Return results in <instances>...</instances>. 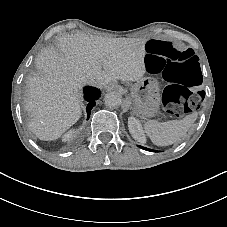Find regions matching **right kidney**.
<instances>
[{
    "label": "right kidney",
    "instance_id": "obj_1",
    "mask_svg": "<svg viewBox=\"0 0 227 227\" xmlns=\"http://www.w3.org/2000/svg\"><path fill=\"white\" fill-rule=\"evenodd\" d=\"M72 137H73V131H69V132H67L66 134L63 135L62 141L67 142V141L71 140Z\"/></svg>",
    "mask_w": 227,
    "mask_h": 227
}]
</instances>
